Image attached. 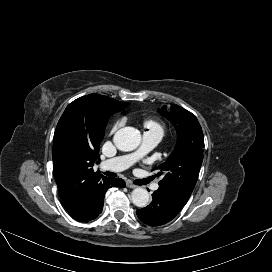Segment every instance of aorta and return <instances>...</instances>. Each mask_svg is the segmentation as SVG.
Wrapping results in <instances>:
<instances>
[{"label": "aorta", "instance_id": "1", "mask_svg": "<svg viewBox=\"0 0 272 272\" xmlns=\"http://www.w3.org/2000/svg\"><path fill=\"white\" fill-rule=\"evenodd\" d=\"M114 144L121 151H131L137 148L141 141L140 132L133 127L119 129L114 135ZM131 200L137 207L148 205L150 196L146 189L135 188L131 193Z\"/></svg>", "mask_w": 272, "mask_h": 272}]
</instances>
